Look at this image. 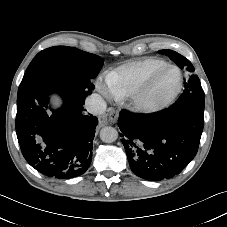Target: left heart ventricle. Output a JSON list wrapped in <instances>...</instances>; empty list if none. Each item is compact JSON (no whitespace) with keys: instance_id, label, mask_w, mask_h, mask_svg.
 Returning <instances> with one entry per match:
<instances>
[{"instance_id":"1","label":"left heart ventricle","mask_w":227,"mask_h":227,"mask_svg":"<svg viewBox=\"0 0 227 227\" xmlns=\"http://www.w3.org/2000/svg\"><path fill=\"white\" fill-rule=\"evenodd\" d=\"M178 82V73L175 70H168L157 80L151 99L158 100L169 94Z\"/></svg>"}]
</instances>
